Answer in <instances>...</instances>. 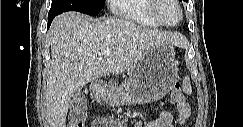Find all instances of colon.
Returning <instances> with one entry per match:
<instances>
[{"mask_svg": "<svg viewBox=\"0 0 243 127\" xmlns=\"http://www.w3.org/2000/svg\"><path fill=\"white\" fill-rule=\"evenodd\" d=\"M173 97L176 100V102H183L185 101L181 91H180V85L176 84L174 91H173ZM86 119V106L85 104H79L72 108L71 115H70V123L69 127H83Z\"/></svg>", "mask_w": 243, "mask_h": 127, "instance_id": "5ec220e1", "label": "colon"}]
</instances>
